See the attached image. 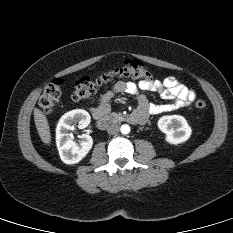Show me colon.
Here are the masks:
<instances>
[{
	"label": "colon",
	"mask_w": 233,
	"mask_h": 233,
	"mask_svg": "<svg viewBox=\"0 0 233 233\" xmlns=\"http://www.w3.org/2000/svg\"><path fill=\"white\" fill-rule=\"evenodd\" d=\"M115 78L150 80L151 72L146 65L138 60H125L107 72L94 77H83L77 81L73 86L72 99L79 101L89 98L96 93L100 86ZM61 84V80H54L44 88L39 98V106L45 113L50 114L54 111L61 97ZM195 106L202 110L206 107V102L201 99L197 100Z\"/></svg>",
	"instance_id": "5ec220e1"
}]
</instances>
